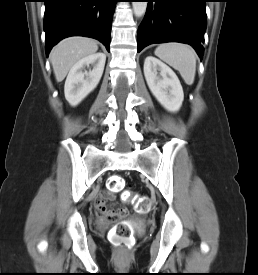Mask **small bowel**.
<instances>
[{
  "label": "small bowel",
  "instance_id": "obj_1",
  "mask_svg": "<svg viewBox=\"0 0 258 275\" xmlns=\"http://www.w3.org/2000/svg\"><path fill=\"white\" fill-rule=\"evenodd\" d=\"M112 199H113V194L110 192H102L99 194V196L95 200L94 206L100 215L106 217L105 214L108 211L106 202L111 201Z\"/></svg>",
  "mask_w": 258,
  "mask_h": 275
}]
</instances>
